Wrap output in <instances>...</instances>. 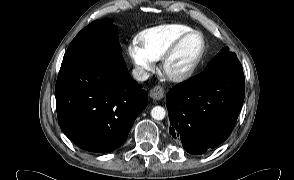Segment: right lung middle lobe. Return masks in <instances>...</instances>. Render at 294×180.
I'll return each instance as SVG.
<instances>
[{
	"mask_svg": "<svg viewBox=\"0 0 294 180\" xmlns=\"http://www.w3.org/2000/svg\"><path fill=\"white\" fill-rule=\"evenodd\" d=\"M120 49L117 27L109 19L96 20L72 40L62 63L87 54L120 51Z\"/></svg>",
	"mask_w": 294,
	"mask_h": 180,
	"instance_id": "right-lung-middle-lobe-1",
	"label": "right lung middle lobe"
}]
</instances>
